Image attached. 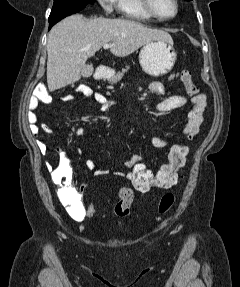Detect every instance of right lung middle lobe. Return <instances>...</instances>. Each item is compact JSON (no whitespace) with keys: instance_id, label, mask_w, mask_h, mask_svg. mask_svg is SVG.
<instances>
[{"instance_id":"dd1d6c3e","label":"right lung middle lobe","mask_w":240,"mask_h":287,"mask_svg":"<svg viewBox=\"0 0 240 287\" xmlns=\"http://www.w3.org/2000/svg\"><path fill=\"white\" fill-rule=\"evenodd\" d=\"M94 2L95 0H54L49 22L75 14L85 8L87 4H94Z\"/></svg>"}]
</instances>
